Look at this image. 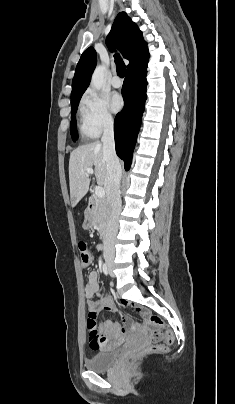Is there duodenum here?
Returning a JSON list of instances; mask_svg holds the SVG:
<instances>
[{
  "instance_id": "1",
  "label": "duodenum",
  "mask_w": 235,
  "mask_h": 404,
  "mask_svg": "<svg viewBox=\"0 0 235 404\" xmlns=\"http://www.w3.org/2000/svg\"><path fill=\"white\" fill-rule=\"evenodd\" d=\"M94 204H95V201H94V199L91 198L89 200V203H88V206H87V209H86V214L88 216H91L93 214V212H94ZM104 241H106V237H104Z\"/></svg>"
}]
</instances>
